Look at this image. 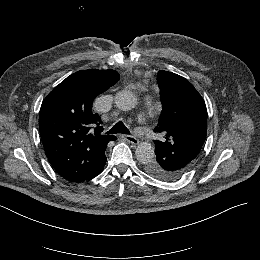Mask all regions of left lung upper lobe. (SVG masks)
I'll return each instance as SVG.
<instances>
[{
    "mask_svg": "<svg viewBox=\"0 0 260 260\" xmlns=\"http://www.w3.org/2000/svg\"><path fill=\"white\" fill-rule=\"evenodd\" d=\"M163 110L155 132L156 160L146 170L159 179L176 180L197 160L207 133V110L203 98L185 78L160 70L157 75Z\"/></svg>",
    "mask_w": 260,
    "mask_h": 260,
    "instance_id": "obj_1",
    "label": "left lung upper lobe"
}]
</instances>
